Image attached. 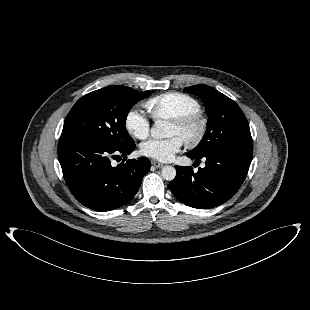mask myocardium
I'll list each match as a JSON object with an SVG mask.
<instances>
[{
	"instance_id": "1",
	"label": "myocardium",
	"mask_w": 310,
	"mask_h": 310,
	"mask_svg": "<svg viewBox=\"0 0 310 310\" xmlns=\"http://www.w3.org/2000/svg\"><path fill=\"white\" fill-rule=\"evenodd\" d=\"M170 122L181 129H187L194 124L198 126L197 133L193 137L187 138L183 141L189 148H194L200 145L208 131V119L200 110L180 115L171 119Z\"/></svg>"
}]
</instances>
